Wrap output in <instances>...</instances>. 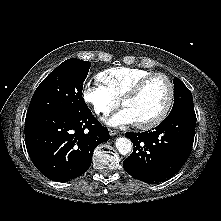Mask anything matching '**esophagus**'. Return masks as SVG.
Listing matches in <instances>:
<instances>
[{
  "mask_svg": "<svg viewBox=\"0 0 221 221\" xmlns=\"http://www.w3.org/2000/svg\"><path fill=\"white\" fill-rule=\"evenodd\" d=\"M119 132L117 130H114V129H109V134L111 136H114V135H117Z\"/></svg>",
  "mask_w": 221,
  "mask_h": 221,
  "instance_id": "obj_1",
  "label": "esophagus"
}]
</instances>
